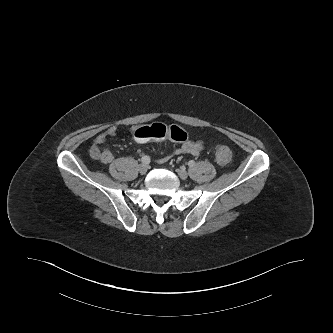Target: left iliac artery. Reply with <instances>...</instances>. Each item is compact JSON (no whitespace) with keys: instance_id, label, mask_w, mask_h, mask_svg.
Returning <instances> with one entry per match:
<instances>
[{"instance_id":"left-iliac-artery-1","label":"left iliac artery","mask_w":333,"mask_h":333,"mask_svg":"<svg viewBox=\"0 0 333 333\" xmlns=\"http://www.w3.org/2000/svg\"><path fill=\"white\" fill-rule=\"evenodd\" d=\"M194 165H195V161H194V160H190V161L188 162V166L192 167V166H194Z\"/></svg>"}]
</instances>
